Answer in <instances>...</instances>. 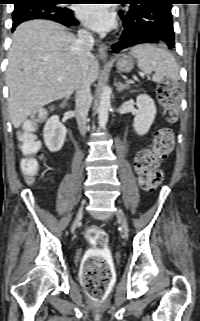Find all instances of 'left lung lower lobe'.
<instances>
[{
  "instance_id": "obj_1",
  "label": "left lung lower lobe",
  "mask_w": 200,
  "mask_h": 321,
  "mask_svg": "<svg viewBox=\"0 0 200 321\" xmlns=\"http://www.w3.org/2000/svg\"><path fill=\"white\" fill-rule=\"evenodd\" d=\"M120 11L124 30L119 42L112 46L114 52L143 44L160 43L174 47V29L170 0H137Z\"/></svg>"
}]
</instances>
